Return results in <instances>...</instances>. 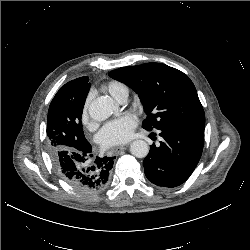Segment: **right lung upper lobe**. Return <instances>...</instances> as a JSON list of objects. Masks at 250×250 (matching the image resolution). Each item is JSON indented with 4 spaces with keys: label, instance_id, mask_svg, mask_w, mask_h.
Listing matches in <instances>:
<instances>
[{
    "label": "right lung upper lobe",
    "instance_id": "cb5924a9",
    "mask_svg": "<svg viewBox=\"0 0 250 250\" xmlns=\"http://www.w3.org/2000/svg\"><path fill=\"white\" fill-rule=\"evenodd\" d=\"M87 78L88 77L85 76V77H80V78H77L75 80H72V81L66 83L64 86H62L59 89V92L69 96L71 99L74 100L77 97V93H78L77 89L80 86L84 85Z\"/></svg>",
    "mask_w": 250,
    "mask_h": 250
}]
</instances>
